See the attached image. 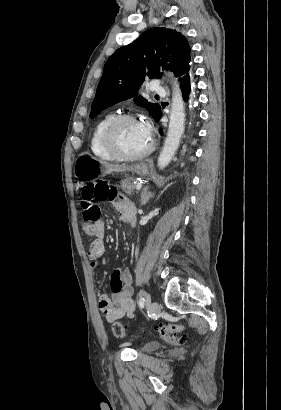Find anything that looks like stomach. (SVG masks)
<instances>
[{
	"label": "stomach",
	"mask_w": 281,
	"mask_h": 410,
	"mask_svg": "<svg viewBox=\"0 0 281 410\" xmlns=\"http://www.w3.org/2000/svg\"><path fill=\"white\" fill-rule=\"evenodd\" d=\"M133 171L139 175H148L149 166L146 162H139L131 167L117 166L97 159L89 154H80L74 163V176L85 183L91 179L101 177L112 172Z\"/></svg>",
	"instance_id": "1"
}]
</instances>
